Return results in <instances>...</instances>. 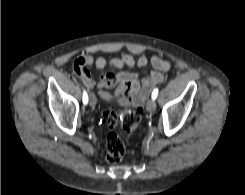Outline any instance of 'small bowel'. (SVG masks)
<instances>
[{
  "label": "small bowel",
  "mask_w": 245,
  "mask_h": 195,
  "mask_svg": "<svg viewBox=\"0 0 245 195\" xmlns=\"http://www.w3.org/2000/svg\"><path fill=\"white\" fill-rule=\"evenodd\" d=\"M148 64L152 70L149 76L140 79L138 74L132 71H121L119 73H105L96 82L90 74V68L95 66L99 70L105 68H143ZM170 69V63L157 55L148 58L145 55L134 57L127 54L122 57L106 60L104 57H94L91 54L80 56L75 60L74 71L87 88L96 87L98 95L104 100L117 99L122 104H133L140 107L153 87L163 81V73ZM116 87L113 93L107 91Z\"/></svg>",
  "instance_id": "small-bowel-1"
}]
</instances>
